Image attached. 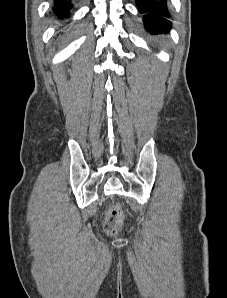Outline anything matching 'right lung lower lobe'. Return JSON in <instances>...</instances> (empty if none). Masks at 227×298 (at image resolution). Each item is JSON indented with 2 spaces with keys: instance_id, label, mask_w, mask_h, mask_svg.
I'll return each instance as SVG.
<instances>
[{
  "instance_id": "1",
  "label": "right lung lower lobe",
  "mask_w": 227,
  "mask_h": 298,
  "mask_svg": "<svg viewBox=\"0 0 227 298\" xmlns=\"http://www.w3.org/2000/svg\"><path fill=\"white\" fill-rule=\"evenodd\" d=\"M70 1L67 0H55L54 12L60 19L67 17V13L71 8Z\"/></svg>"
}]
</instances>
